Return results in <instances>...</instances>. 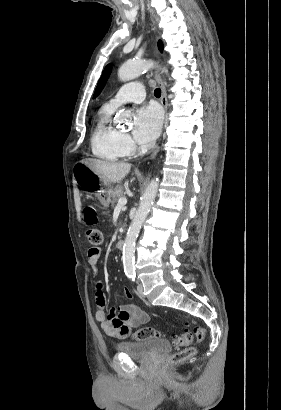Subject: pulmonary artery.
<instances>
[{
    "mask_svg": "<svg viewBox=\"0 0 281 410\" xmlns=\"http://www.w3.org/2000/svg\"><path fill=\"white\" fill-rule=\"evenodd\" d=\"M144 98L145 86L140 82H129L118 90L115 96L105 104V107L115 110L128 102L140 103Z\"/></svg>",
    "mask_w": 281,
    "mask_h": 410,
    "instance_id": "e3ab8cb5",
    "label": "pulmonary artery"
}]
</instances>
